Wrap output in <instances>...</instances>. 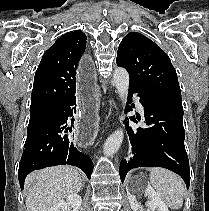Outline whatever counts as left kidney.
<instances>
[{
	"instance_id": "5707ae66",
	"label": "left kidney",
	"mask_w": 209,
	"mask_h": 211,
	"mask_svg": "<svg viewBox=\"0 0 209 211\" xmlns=\"http://www.w3.org/2000/svg\"><path fill=\"white\" fill-rule=\"evenodd\" d=\"M140 189H144V193L148 196V201L146 205L148 206V211H169L166 204L155 192V190L150 186V184L143 181L131 182L129 187L126 188L129 203L133 211H140V203L137 201L136 192Z\"/></svg>"
}]
</instances>
